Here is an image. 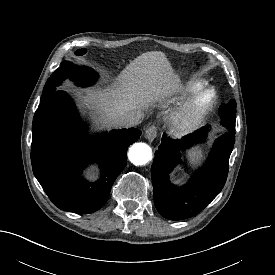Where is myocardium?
Returning <instances> with one entry per match:
<instances>
[{
	"mask_svg": "<svg viewBox=\"0 0 275 275\" xmlns=\"http://www.w3.org/2000/svg\"><path fill=\"white\" fill-rule=\"evenodd\" d=\"M201 98H206L202 108H198ZM218 102V94L212 87H202L190 93L173 112L169 121L171 132L176 136H185L195 132L206 122Z\"/></svg>",
	"mask_w": 275,
	"mask_h": 275,
	"instance_id": "myocardium-1",
	"label": "myocardium"
}]
</instances>
